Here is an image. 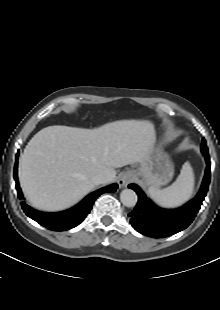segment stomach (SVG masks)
Instances as JSON below:
<instances>
[{"label": "stomach", "mask_w": 220, "mask_h": 310, "mask_svg": "<svg viewBox=\"0 0 220 310\" xmlns=\"http://www.w3.org/2000/svg\"><path fill=\"white\" fill-rule=\"evenodd\" d=\"M132 173L135 178L141 177L146 185L158 188L172 179L173 165L161 149H153Z\"/></svg>", "instance_id": "0dacf381"}]
</instances>
